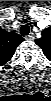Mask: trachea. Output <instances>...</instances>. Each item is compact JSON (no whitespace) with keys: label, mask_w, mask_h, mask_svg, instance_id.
Wrapping results in <instances>:
<instances>
[{"label":"trachea","mask_w":51,"mask_h":101,"mask_svg":"<svg viewBox=\"0 0 51 101\" xmlns=\"http://www.w3.org/2000/svg\"><path fill=\"white\" fill-rule=\"evenodd\" d=\"M30 32V27L28 25H22L20 28V34L25 36L28 35Z\"/></svg>","instance_id":"3493384b"}]
</instances>
